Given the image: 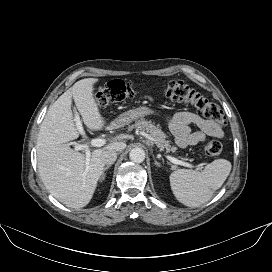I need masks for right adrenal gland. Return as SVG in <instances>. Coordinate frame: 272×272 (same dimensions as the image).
<instances>
[{"label": "right adrenal gland", "mask_w": 272, "mask_h": 272, "mask_svg": "<svg viewBox=\"0 0 272 272\" xmlns=\"http://www.w3.org/2000/svg\"><path fill=\"white\" fill-rule=\"evenodd\" d=\"M110 167H111V165H108V166H106V167L104 168L103 173H102V175H101V181L104 180V178H105V171H106L107 169H109Z\"/></svg>", "instance_id": "1"}]
</instances>
